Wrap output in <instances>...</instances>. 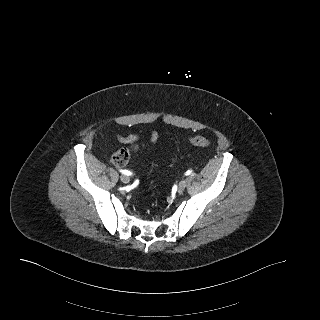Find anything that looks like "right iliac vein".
<instances>
[{
	"label": "right iliac vein",
	"mask_w": 320,
	"mask_h": 320,
	"mask_svg": "<svg viewBox=\"0 0 320 320\" xmlns=\"http://www.w3.org/2000/svg\"><path fill=\"white\" fill-rule=\"evenodd\" d=\"M120 179L123 183H129L130 181V178L127 175H121Z\"/></svg>",
	"instance_id": "63e3f726"
}]
</instances>
